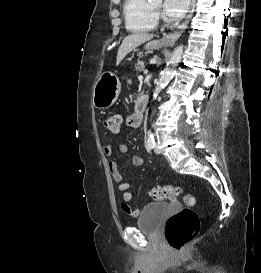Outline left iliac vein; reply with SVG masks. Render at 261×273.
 I'll return each mask as SVG.
<instances>
[{"label": "left iliac vein", "instance_id": "obj_1", "mask_svg": "<svg viewBox=\"0 0 261 273\" xmlns=\"http://www.w3.org/2000/svg\"><path fill=\"white\" fill-rule=\"evenodd\" d=\"M154 152H155L156 154H160V153H161V150L159 149V147H158L157 144L154 145Z\"/></svg>", "mask_w": 261, "mask_h": 273}]
</instances>
